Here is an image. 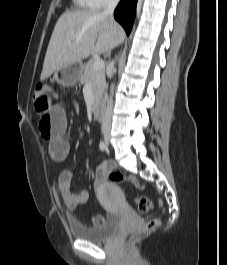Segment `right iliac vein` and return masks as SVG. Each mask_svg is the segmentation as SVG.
Listing matches in <instances>:
<instances>
[{"label":"right iliac vein","instance_id":"63e3f726","mask_svg":"<svg viewBox=\"0 0 227 265\" xmlns=\"http://www.w3.org/2000/svg\"><path fill=\"white\" fill-rule=\"evenodd\" d=\"M104 138H105V141L108 143L109 142V139H110L109 133L105 132L104 133Z\"/></svg>","mask_w":227,"mask_h":265}]
</instances>
